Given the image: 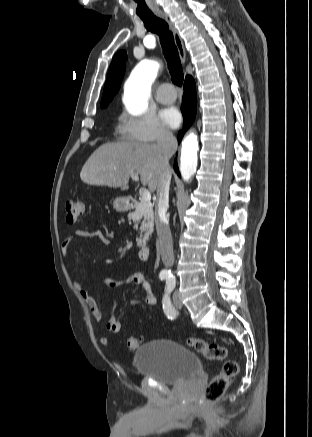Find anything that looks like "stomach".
<instances>
[{"mask_svg":"<svg viewBox=\"0 0 312 437\" xmlns=\"http://www.w3.org/2000/svg\"><path fill=\"white\" fill-rule=\"evenodd\" d=\"M113 207L120 212L126 211L129 209V201L125 197H118L114 200Z\"/></svg>","mask_w":312,"mask_h":437,"instance_id":"1","label":"stomach"}]
</instances>
